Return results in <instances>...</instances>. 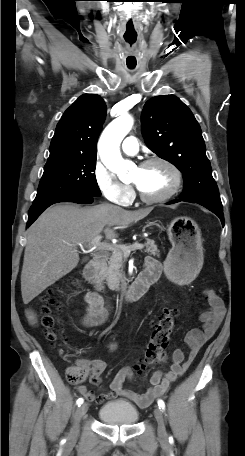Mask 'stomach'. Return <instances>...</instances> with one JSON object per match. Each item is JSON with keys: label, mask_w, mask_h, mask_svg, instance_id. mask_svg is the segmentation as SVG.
<instances>
[{"label": "stomach", "mask_w": 245, "mask_h": 456, "mask_svg": "<svg viewBox=\"0 0 245 456\" xmlns=\"http://www.w3.org/2000/svg\"><path fill=\"white\" fill-rule=\"evenodd\" d=\"M172 244L164 262L165 272L176 284H187L199 273L203 264L201 230L190 217L173 219L167 228Z\"/></svg>", "instance_id": "1"}]
</instances>
